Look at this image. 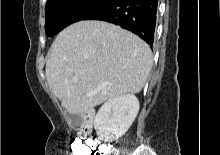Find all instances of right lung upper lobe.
I'll use <instances>...</instances> for the list:
<instances>
[{"label": "right lung upper lobe", "mask_w": 220, "mask_h": 155, "mask_svg": "<svg viewBox=\"0 0 220 155\" xmlns=\"http://www.w3.org/2000/svg\"><path fill=\"white\" fill-rule=\"evenodd\" d=\"M52 0H47V3L51 2Z\"/></svg>", "instance_id": "obj_1"}]
</instances>
